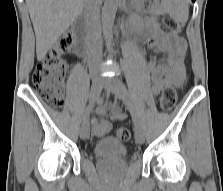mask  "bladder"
Instances as JSON below:
<instances>
[{"instance_id": "obj_1", "label": "bladder", "mask_w": 223, "mask_h": 191, "mask_svg": "<svg viewBox=\"0 0 223 191\" xmlns=\"http://www.w3.org/2000/svg\"><path fill=\"white\" fill-rule=\"evenodd\" d=\"M93 153L99 159L121 160L127 156V148L122 140L108 136L97 141Z\"/></svg>"}]
</instances>
